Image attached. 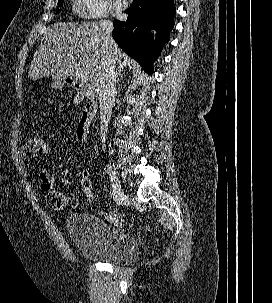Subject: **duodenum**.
I'll list each match as a JSON object with an SVG mask.
<instances>
[{
	"label": "duodenum",
	"instance_id": "1",
	"mask_svg": "<svg viewBox=\"0 0 272 303\" xmlns=\"http://www.w3.org/2000/svg\"><path fill=\"white\" fill-rule=\"evenodd\" d=\"M67 83L73 86L77 92L75 102L77 104L81 103L85 97L84 86L74 77L67 78ZM95 110L96 103L94 101H88L83 106L80 121L76 130V137L81 142L87 139L89 127L94 119Z\"/></svg>",
	"mask_w": 272,
	"mask_h": 303
}]
</instances>
